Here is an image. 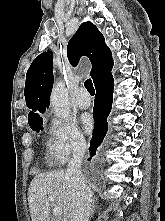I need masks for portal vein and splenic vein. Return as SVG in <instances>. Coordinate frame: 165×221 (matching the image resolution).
Returning <instances> with one entry per match:
<instances>
[{"instance_id": "obj_1", "label": "portal vein and splenic vein", "mask_w": 165, "mask_h": 221, "mask_svg": "<svg viewBox=\"0 0 165 221\" xmlns=\"http://www.w3.org/2000/svg\"><path fill=\"white\" fill-rule=\"evenodd\" d=\"M49 201L52 202L53 201V197L49 196L48 197ZM53 213L55 214V216H61L63 214V210L62 208L55 206L53 209Z\"/></svg>"}]
</instances>
